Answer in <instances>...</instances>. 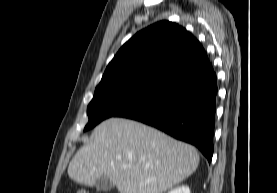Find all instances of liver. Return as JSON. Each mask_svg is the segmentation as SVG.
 I'll return each instance as SVG.
<instances>
[{
  "label": "liver",
  "mask_w": 277,
  "mask_h": 193,
  "mask_svg": "<svg viewBox=\"0 0 277 193\" xmlns=\"http://www.w3.org/2000/svg\"><path fill=\"white\" fill-rule=\"evenodd\" d=\"M92 136L68 166L69 177L86 186L105 176L120 193H163L199 164L196 148L133 120L107 119Z\"/></svg>",
  "instance_id": "1"
}]
</instances>
